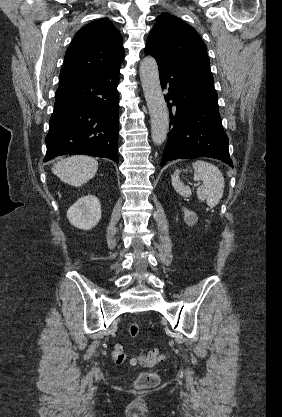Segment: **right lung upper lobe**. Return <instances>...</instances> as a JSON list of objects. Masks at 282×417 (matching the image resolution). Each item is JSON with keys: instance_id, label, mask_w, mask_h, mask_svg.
<instances>
[{"instance_id": "cb5924a9", "label": "right lung upper lobe", "mask_w": 282, "mask_h": 417, "mask_svg": "<svg viewBox=\"0 0 282 417\" xmlns=\"http://www.w3.org/2000/svg\"><path fill=\"white\" fill-rule=\"evenodd\" d=\"M124 48L120 32L107 18L95 20L81 28L65 54L59 84L120 68Z\"/></svg>"}]
</instances>
